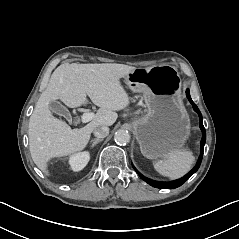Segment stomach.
I'll list each match as a JSON object with an SVG mask.
<instances>
[{"label": "stomach", "mask_w": 239, "mask_h": 239, "mask_svg": "<svg viewBox=\"0 0 239 239\" xmlns=\"http://www.w3.org/2000/svg\"><path fill=\"white\" fill-rule=\"evenodd\" d=\"M124 83L132 92L142 93L147 106V114L132 122L142 155L158 159L181 151L191 125L179 75L138 68L124 77Z\"/></svg>", "instance_id": "1"}]
</instances>
